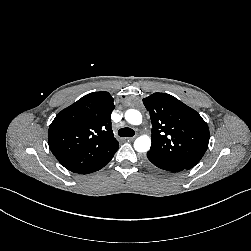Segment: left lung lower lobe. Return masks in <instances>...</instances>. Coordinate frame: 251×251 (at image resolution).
Listing matches in <instances>:
<instances>
[{
    "mask_svg": "<svg viewBox=\"0 0 251 251\" xmlns=\"http://www.w3.org/2000/svg\"><path fill=\"white\" fill-rule=\"evenodd\" d=\"M146 164L151 170L166 176L188 170L181 165L151 155H147Z\"/></svg>",
    "mask_w": 251,
    "mask_h": 251,
    "instance_id": "obj_1",
    "label": "left lung lower lobe"
}]
</instances>
